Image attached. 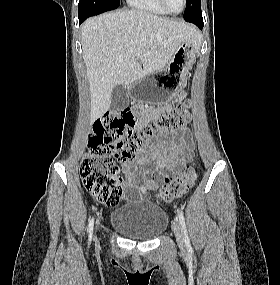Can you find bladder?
I'll return each instance as SVG.
<instances>
[{
    "label": "bladder",
    "instance_id": "bladder-1",
    "mask_svg": "<svg viewBox=\"0 0 280 285\" xmlns=\"http://www.w3.org/2000/svg\"><path fill=\"white\" fill-rule=\"evenodd\" d=\"M167 213L152 202H128L116 208L110 217V225L123 236L150 240L167 228Z\"/></svg>",
    "mask_w": 280,
    "mask_h": 285
}]
</instances>
